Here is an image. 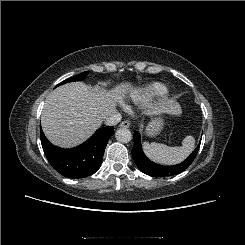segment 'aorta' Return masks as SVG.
Masks as SVG:
<instances>
[{
    "label": "aorta",
    "mask_w": 245,
    "mask_h": 245,
    "mask_svg": "<svg viewBox=\"0 0 245 245\" xmlns=\"http://www.w3.org/2000/svg\"><path fill=\"white\" fill-rule=\"evenodd\" d=\"M115 137L121 143H128L132 139V133L127 128H120L116 131Z\"/></svg>",
    "instance_id": "762f6f07"
}]
</instances>
